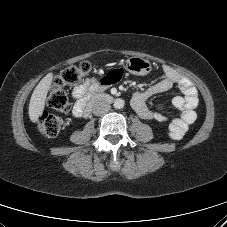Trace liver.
I'll use <instances>...</instances> for the list:
<instances>
[{"instance_id":"obj_1","label":"liver","mask_w":227,"mask_h":227,"mask_svg":"<svg viewBox=\"0 0 227 227\" xmlns=\"http://www.w3.org/2000/svg\"><path fill=\"white\" fill-rule=\"evenodd\" d=\"M52 82L53 73L51 72L41 79L32 93L28 112L29 118L33 123H36L39 120V117L44 111L47 94Z\"/></svg>"}]
</instances>
